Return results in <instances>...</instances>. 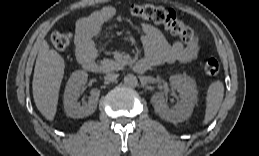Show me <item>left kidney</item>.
I'll return each mask as SVG.
<instances>
[{
    "mask_svg": "<svg viewBox=\"0 0 259 156\" xmlns=\"http://www.w3.org/2000/svg\"><path fill=\"white\" fill-rule=\"evenodd\" d=\"M171 88L180 93V101L169 108L163 92H157L151 97V103L155 112L163 119L170 122H182L187 120L197 103L198 91L196 82L189 76L172 75L170 77Z\"/></svg>",
    "mask_w": 259,
    "mask_h": 156,
    "instance_id": "1",
    "label": "left kidney"
}]
</instances>
